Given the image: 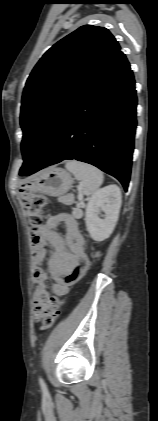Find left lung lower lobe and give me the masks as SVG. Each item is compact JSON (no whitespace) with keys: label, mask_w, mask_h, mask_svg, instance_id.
Instances as JSON below:
<instances>
[{"label":"left lung lower lobe","mask_w":158,"mask_h":421,"mask_svg":"<svg viewBox=\"0 0 158 421\" xmlns=\"http://www.w3.org/2000/svg\"><path fill=\"white\" fill-rule=\"evenodd\" d=\"M136 106L134 76L119 50L63 114L35 165L20 175L76 159L114 176L127 190Z\"/></svg>","instance_id":"obj_1"}]
</instances>
